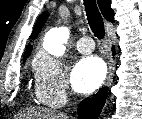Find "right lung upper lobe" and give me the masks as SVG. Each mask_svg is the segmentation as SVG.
<instances>
[{
    "label": "right lung upper lobe",
    "mask_w": 142,
    "mask_h": 119,
    "mask_svg": "<svg viewBox=\"0 0 142 119\" xmlns=\"http://www.w3.org/2000/svg\"><path fill=\"white\" fill-rule=\"evenodd\" d=\"M99 8L104 16V18L110 22H114V12L112 8L110 7L111 1L110 0H97ZM47 18V13L44 12L37 20L34 31L32 32L31 39H35L38 35V33L41 31L44 22ZM32 50V45H28L26 49V53L24 56V60L29 56Z\"/></svg>",
    "instance_id": "obj_1"
}]
</instances>
